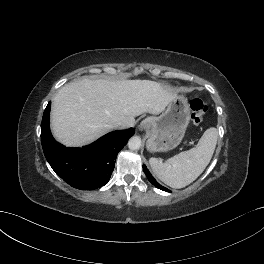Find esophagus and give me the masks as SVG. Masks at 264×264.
<instances>
[{
    "label": "esophagus",
    "mask_w": 264,
    "mask_h": 264,
    "mask_svg": "<svg viewBox=\"0 0 264 264\" xmlns=\"http://www.w3.org/2000/svg\"><path fill=\"white\" fill-rule=\"evenodd\" d=\"M140 130H143V128H145V123L144 122H142L140 125H139V127H138Z\"/></svg>",
    "instance_id": "34e87169"
}]
</instances>
